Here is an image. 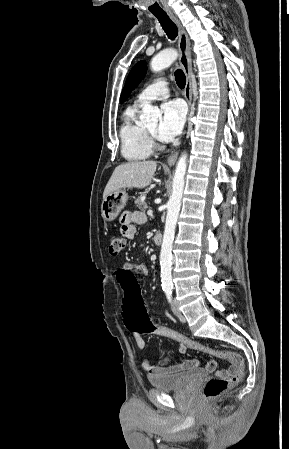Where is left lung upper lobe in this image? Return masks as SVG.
Segmentation results:
<instances>
[{
    "label": "left lung upper lobe",
    "instance_id": "5c2ea615",
    "mask_svg": "<svg viewBox=\"0 0 289 449\" xmlns=\"http://www.w3.org/2000/svg\"><path fill=\"white\" fill-rule=\"evenodd\" d=\"M146 63L145 61L138 62L130 71L125 87L122 90L120 103H123L131 91L140 83L144 75L146 74Z\"/></svg>",
    "mask_w": 289,
    "mask_h": 449
}]
</instances>
